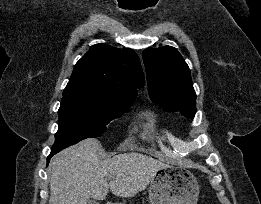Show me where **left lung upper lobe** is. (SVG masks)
<instances>
[{
  "instance_id": "1",
  "label": "left lung upper lobe",
  "mask_w": 261,
  "mask_h": 204,
  "mask_svg": "<svg viewBox=\"0 0 261 204\" xmlns=\"http://www.w3.org/2000/svg\"><path fill=\"white\" fill-rule=\"evenodd\" d=\"M142 56L151 100L167 111L194 118L196 94L190 69L178 50L171 46L148 48Z\"/></svg>"
}]
</instances>
